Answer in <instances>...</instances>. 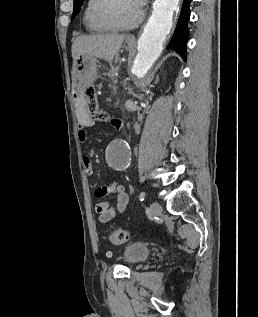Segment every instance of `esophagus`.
<instances>
[{
	"label": "esophagus",
	"mask_w": 258,
	"mask_h": 317,
	"mask_svg": "<svg viewBox=\"0 0 258 317\" xmlns=\"http://www.w3.org/2000/svg\"><path fill=\"white\" fill-rule=\"evenodd\" d=\"M130 39H135L134 35H129Z\"/></svg>",
	"instance_id": "1"
}]
</instances>
